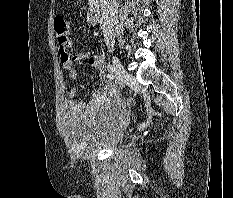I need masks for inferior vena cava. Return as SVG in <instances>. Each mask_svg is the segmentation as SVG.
<instances>
[{
	"mask_svg": "<svg viewBox=\"0 0 233 198\" xmlns=\"http://www.w3.org/2000/svg\"><path fill=\"white\" fill-rule=\"evenodd\" d=\"M101 30L108 48L115 43V25L118 18V4L116 0H100Z\"/></svg>",
	"mask_w": 233,
	"mask_h": 198,
	"instance_id": "1",
	"label": "inferior vena cava"
}]
</instances>
